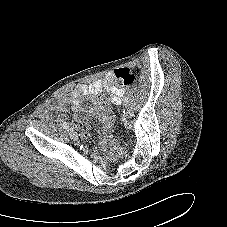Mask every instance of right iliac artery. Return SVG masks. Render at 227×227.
Returning a JSON list of instances; mask_svg holds the SVG:
<instances>
[{"instance_id":"82829eb1","label":"right iliac artery","mask_w":227,"mask_h":227,"mask_svg":"<svg viewBox=\"0 0 227 227\" xmlns=\"http://www.w3.org/2000/svg\"><path fill=\"white\" fill-rule=\"evenodd\" d=\"M59 121L61 122V125L63 126L64 129H69V126L65 121H63L61 119Z\"/></svg>"}]
</instances>
